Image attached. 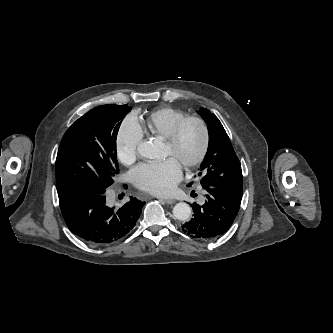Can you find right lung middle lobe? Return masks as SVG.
<instances>
[{
    "mask_svg": "<svg viewBox=\"0 0 333 333\" xmlns=\"http://www.w3.org/2000/svg\"><path fill=\"white\" fill-rule=\"evenodd\" d=\"M127 105H101L75 121L64 134L56 158L58 197L105 193L119 172L116 138Z\"/></svg>",
    "mask_w": 333,
    "mask_h": 333,
    "instance_id": "right-lung-middle-lobe-1",
    "label": "right lung middle lobe"
}]
</instances>
